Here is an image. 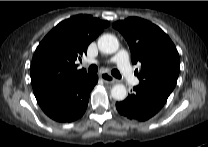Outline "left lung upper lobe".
Returning a JSON list of instances; mask_svg holds the SVG:
<instances>
[{"label": "left lung upper lobe", "instance_id": "obj_1", "mask_svg": "<svg viewBox=\"0 0 208 147\" xmlns=\"http://www.w3.org/2000/svg\"><path fill=\"white\" fill-rule=\"evenodd\" d=\"M113 27L127 40L132 63H141V69L135 71L139 85L150 86L170 95L178 79L180 59L168 35L158 26L138 17L118 21Z\"/></svg>", "mask_w": 208, "mask_h": 147}]
</instances>
